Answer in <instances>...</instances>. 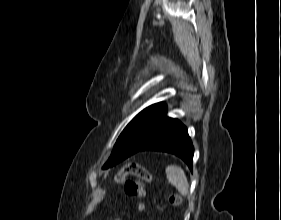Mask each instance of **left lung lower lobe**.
<instances>
[{
  "instance_id": "left-lung-lower-lobe-1",
  "label": "left lung lower lobe",
  "mask_w": 281,
  "mask_h": 220,
  "mask_svg": "<svg viewBox=\"0 0 281 220\" xmlns=\"http://www.w3.org/2000/svg\"><path fill=\"white\" fill-rule=\"evenodd\" d=\"M146 150L174 154L192 170L194 148L186 126L177 119L166 116L151 139L139 151Z\"/></svg>"
}]
</instances>
